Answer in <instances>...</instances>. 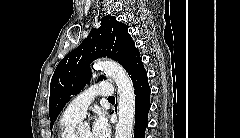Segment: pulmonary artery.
Wrapping results in <instances>:
<instances>
[{
  "mask_svg": "<svg viewBox=\"0 0 240 138\" xmlns=\"http://www.w3.org/2000/svg\"><path fill=\"white\" fill-rule=\"evenodd\" d=\"M113 94L112 85L109 82H100L75 97L66 107L64 115L81 119L86 114L89 105L96 96L111 97Z\"/></svg>",
  "mask_w": 240,
  "mask_h": 138,
  "instance_id": "e3ab8cb5",
  "label": "pulmonary artery"
}]
</instances>
